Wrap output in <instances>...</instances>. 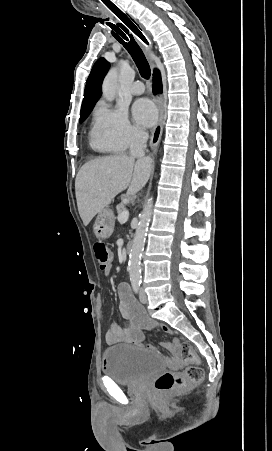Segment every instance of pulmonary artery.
I'll return each mask as SVG.
<instances>
[{"label": "pulmonary artery", "instance_id": "e3ab8cb5", "mask_svg": "<svg viewBox=\"0 0 272 451\" xmlns=\"http://www.w3.org/2000/svg\"><path fill=\"white\" fill-rule=\"evenodd\" d=\"M134 86L129 89V93L133 95H141L143 93L144 87L143 82L140 79L134 81Z\"/></svg>", "mask_w": 272, "mask_h": 451}]
</instances>
